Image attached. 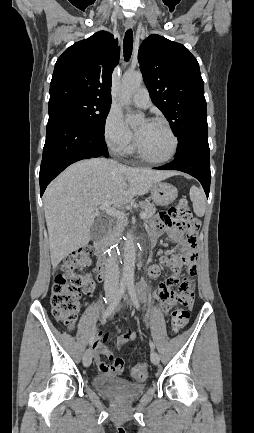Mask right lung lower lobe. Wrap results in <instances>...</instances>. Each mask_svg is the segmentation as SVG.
I'll list each match as a JSON object with an SVG mask.
<instances>
[{
  "mask_svg": "<svg viewBox=\"0 0 254 433\" xmlns=\"http://www.w3.org/2000/svg\"><path fill=\"white\" fill-rule=\"evenodd\" d=\"M108 157L104 132L63 114H50L40 167V196L47 185L70 164L93 157Z\"/></svg>",
  "mask_w": 254,
  "mask_h": 433,
  "instance_id": "98d812e1",
  "label": "right lung lower lobe"
}]
</instances>
